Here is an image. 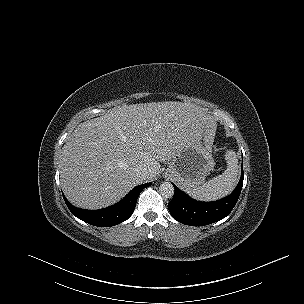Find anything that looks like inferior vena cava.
Listing matches in <instances>:
<instances>
[{
    "instance_id": "1",
    "label": "inferior vena cava",
    "mask_w": 304,
    "mask_h": 304,
    "mask_svg": "<svg viewBox=\"0 0 304 304\" xmlns=\"http://www.w3.org/2000/svg\"><path fill=\"white\" fill-rule=\"evenodd\" d=\"M136 175L141 181H145L148 178V170L143 169V168H137L136 169Z\"/></svg>"
}]
</instances>
